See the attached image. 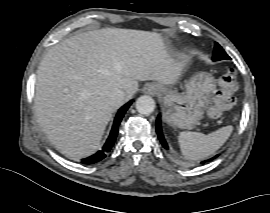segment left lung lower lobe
<instances>
[{"mask_svg":"<svg viewBox=\"0 0 270 213\" xmlns=\"http://www.w3.org/2000/svg\"><path fill=\"white\" fill-rule=\"evenodd\" d=\"M156 131H157V134H158V138L160 140V142L162 143V146L165 148V149H168V145L165 141V138L163 136V133H162V129H161V118H160V115L158 116L157 120H156ZM218 155L214 156L213 158L211 159H208L206 161H203L201 163H205L207 161H211L213 159H215Z\"/></svg>","mask_w":270,"mask_h":213,"instance_id":"1","label":"left lung lower lobe"}]
</instances>
